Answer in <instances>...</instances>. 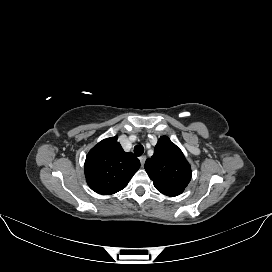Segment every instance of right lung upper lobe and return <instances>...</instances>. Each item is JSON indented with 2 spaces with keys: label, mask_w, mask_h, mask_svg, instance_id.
I'll use <instances>...</instances> for the list:
<instances>
[{
  "label": "right lung upper lobe",
  "mask_w": 272,
  "mask_h": 272,
  "mask_svg": "<svg viewBox=\"0 0 272 272\" xmlns=\"http://www.w3.org/2000/svg\"><path fill=\"white\" fill-rule=\"evenodd\" d=\"M139 167L140 161L125 152L115 136L102 140L89 151L84 171L93 191L110 195L125 188Z\"/></svg>",
  "instance_id": "1"
}]
</instances>
